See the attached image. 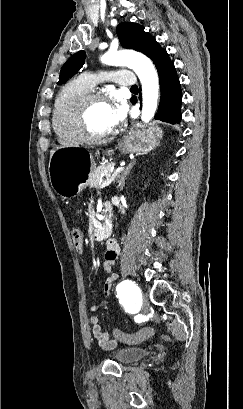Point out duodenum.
<instances>
[{
	"mask_svg": "<svg viewBox=\"0 0 243 409\" xmlns=\"http://www.w3.org/2000/svg\"><path fill=\"white\" fill-rule=\"evenodd\" d=\"M111 233V223L109 221L106 222H98L95 224L94 228V235L95 238L98 240L107 238Z\"/></svg>",
	"mask_w": 243,
	"mask_h": 409,
	"instance_id": "410a0bca",
	"label": "duodenum"
}]
</instances>
